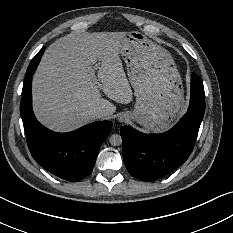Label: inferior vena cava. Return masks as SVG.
I'll list each match as a JSON object with an SVG mask.
<instances>
[{
  "instance_id": "obj_1",
  "label": "inferior vena cava",
  "mask_w": 233,
  "mask_h": 233,
  "mask_svg": "<svg viewBox=\"0 0 233 233\" xmlns=\"http://www.w3.org/2000/svg\"><path fill=\"white\" fill-rule=\"evenodd\" d=\"M91 113H92L93 117L96 119L103 118L106 115V112L104 109H95Z\"/></svg>"
}]
</instances>
